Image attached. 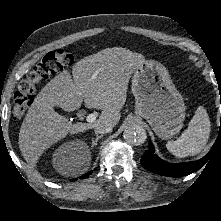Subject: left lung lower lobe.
<instances>
[{
    "mask_svg": "<svg viewBox=\"0 0 221 221\" xmlns=\"http://www.w3.org/2000/svg\"><path fill=\"white\" fill-rule=\"evenodd\" d=\"M218 138L216 143L210 150V152L202 159L198 161L178 163V164L168 163L160 159L155 154V149L152 142L149 141V149L141 157V164L146 170H149L159 175L170 176V177H181L189 175L200 169L207 162V160L209 159V157L213 152V149L220 140V138L219 139Z\"/></svg>",
    "mask_w": 221,
    "mask_h": 221,
    "instance_id": "left-lung-lower-lobe-1",
    "label": "left lung lower lobe"
}]
</instances>
